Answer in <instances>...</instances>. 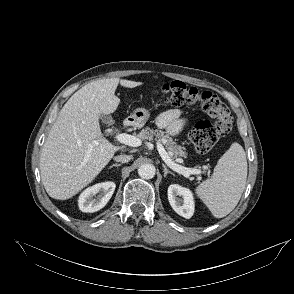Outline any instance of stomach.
Returning a JSON list of instances; mask_svg holds the SVG:
<instances>
[{"mask_svg":"<svg viewBox=\"0 0 294 294\" xmlns=\"http://www.w3.org/2000/svg\"><path fill=\"white\" fill-rule=\"evenodd\" d=\"M150 117V113L145 108H137L130 116L132 123L137 127H142Z\"/></svg>","mask_w":294,"mask_h":294,"instance_id":"obj_1","label":"stomach"}]
</instances>
